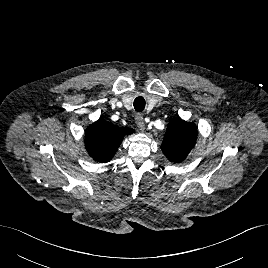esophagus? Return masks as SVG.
I'll list each match as a JSON object with an SVG mask.
<instances>
[{
    "instance_id": "obj_1",
    "label": "esophagus",
    "mask_w": 268,
    "mask_h": 268,
    "mask_svg": "<svg viewBox=\"0 0 268 268\" xmlns=\"http://www.w3.org/2000/svg\"><path fill=\"white\" fill-rule=\"evenodd\" d=\"M135 123L137 127L140 129V131L144 132L145 131V121L144 117L142 114H136L135 116Z\"/></svg>"
}]
</instances>
